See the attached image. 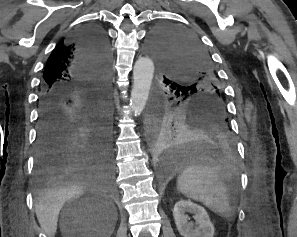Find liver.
<instances>
[{
  "mask_svg": "<svg viewBox=\"0 0 297 237\" xmlns=\"http://www.w3.org/2000/svg\"><path fill=\"white\" fill-rule=\"evenodd\" d=\"M89 179L91 176L84 174L61 176L51 188L39 195L35 203V213L47 237L55 236L58 216L65 202L79 196L87 186Z\"/></svg>",
  "mask_w": 297,
  "mask_h": 237,
  "instance_id": "6515ba94",
  "label": "liver"
}]
</instances>
